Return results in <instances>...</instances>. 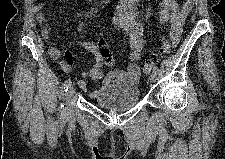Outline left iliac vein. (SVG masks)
Masks as SVG:
<instances>
[{"instance_id":"obj_1","label":"left iliac vein","mask_w":225,"mask_h":159,"mask_svg":"<svg viewBox=\"0 0 225 159\" xmlns=\"http://www.w3.org/2000/svg\"><path fill=\"white\" fill-rule=\"evenodd\" d=\"M156 79H157V73H155V72L153 71V72L151 73V75H150L149 80H150L151 83H154V82L156 81Z\"/></svg>"}]
</instances>
